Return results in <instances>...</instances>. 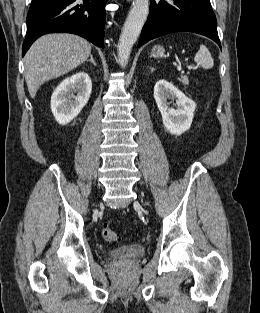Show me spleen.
Segmentation results:
<instances>
[{
  "mask_svg": "<svg viewBox=\"0 0 260 313\" xmlns=\"http://www.w3.org/2000/svg\"><path fill=\"white\" fill-rule=\"evenodd\" d=\"M194 61L203 69H211L214 65L211 53L205 45H201L199 51L194 57Z\"/></svg>",
  "mask_w": 260,
  "mask_h": 313,
  "instance_id": "1",
  "label": "spleen"
}]
</instances>
